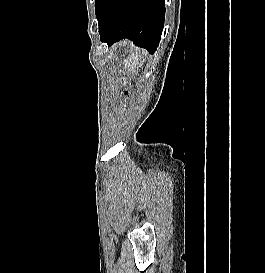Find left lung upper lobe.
<instances>
[{"mask_svg":"<svg viewBox=\"0 0 265 273\" xmlns=\"http://www.w3.org/2000/svg\"><path fill=\"white\" fill-rule=\"evenodd\" d=\"M96 17L98 19V24L100 26L106 17L105 10H102L101 8L96 7Z\"/></svg>","mask_w":265,"mask_h":273,"instance_id":"1","label":"left lung upper lobe"}]
</instances>
